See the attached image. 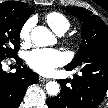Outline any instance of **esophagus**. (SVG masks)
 <instances>
[{"mask_svg":"<svg viewBox=\"0 0 108 108\" xmlns=\"http://www.w3.org/2000/svg\"><path fill=\"white\" fill-rule=\"evenodd\" d=\"M39 80H40V82H47V81H49L48 78H44V77H40Z\"/></svg>","mask_w":108,"mask_h":108,"instance_id":"1","label":"esophagus"}]
</instances>
